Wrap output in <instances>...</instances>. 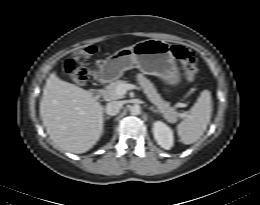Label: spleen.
I'll return each mask as SVG.
<instances>
[{"label":"spleen","mask_w":260,"mask_h":205,"mask_svg":"<svg viewBox=\"0 0 260 205\" xmlns=\"http://www.w3.org/2000/svg\"><path fill=\"white\" fill-rule=\"evenodd\" d=\"M211 113V93L204 90L194 106L188 111L187 117L177 126L181 142L188 145L200 139L210 122Z\"/></svg>","instance_id":"spleen-1"}]
</instances>
